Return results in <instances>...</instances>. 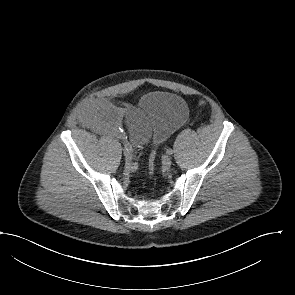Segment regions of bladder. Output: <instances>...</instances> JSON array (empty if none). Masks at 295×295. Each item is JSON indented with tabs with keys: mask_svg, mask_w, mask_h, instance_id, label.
Here are the masks:
<instances>
[{
	"mask_svg": "<svg viewBox=\"0 0 295 295\" xmlns=\"http://www.w3.org/2000/svg\"><path fill=\"white\" fill-rule=\"evenodd\" d=\"M137 111L141 112L152 127V140L161 142L171 131L180 127L189 111L186 102L179 95L166 92H150L144 95Z\"/></svg>",
	"mask_w": 295,
	"mask_h": 295,
	"instance_id": "1",
	"label": "bladder"
}]
</instances>
